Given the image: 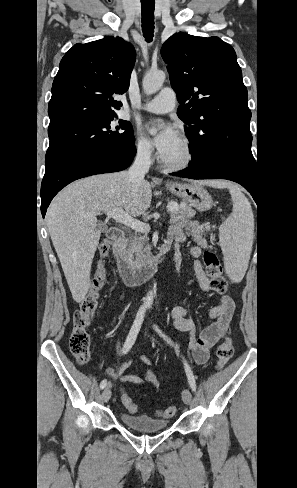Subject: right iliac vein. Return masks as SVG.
<instances>
[{"label": "right iliac vein", "mask_w": 297, "mask_h": 488, "mask_svg": "<svg viewBox=\"0 0 297 488\" xmlns=\"http://www.w3.org/2000/svg\"><path fill=\"white\" fill-rule=\"evenodd\" d=\"M111 397V390L109 388H105L102 392V400L104 402H108Z\"/></svg>", "instance_id": "63e3f726"}]
</instances>
